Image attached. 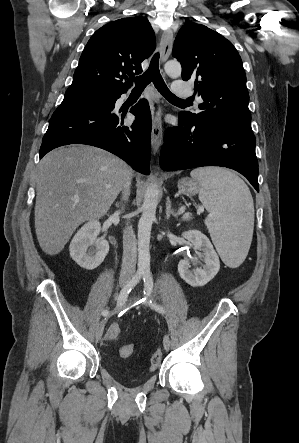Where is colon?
Segmentation results:
<instances>
[{
    "label": "colon",
    "mask_w": 299,
    "mask_h": 443,
    "mask_svg": "<svg viewBox=\"0 0 299 443\" xmlns=\"http://www.w3.org/2000/svg\"><path fill=\"white\" fill-rule=\"evenodd\" d=\"M121 332L120 326L117 323L111 324L106 332L105 339L106 340H115L119 337ZM135 353V345L134 344H126L120 348V356L123 358L131 357ZM163 361L162 352L157 349L151 356V369H157Z\"/></svg>",
    "instance_id": "obj_1"
}]
</instances>
